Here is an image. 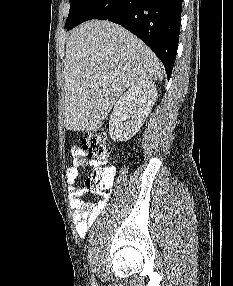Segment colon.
Listing matches in <instances>:
<instances>
[{
  "mask_svg": "<svg viewBox=\"0 0 233 286\" xmlns=\"http://www.w3.org/2000/svg\"><path fill=\"white\" fill-rule=\"evenodd\" d=\"M82 148L89 157L95 159L99 164H104L108 159L106 137L101 130L86 133L82 141ZM113 179V170L110 167L101 166L89 174L85 181V187L102 191L112 185Z\"/></svg>",
  "mask_w": 233,
  "mask_h": 286,
  "instance_id": "1",
  "label": "colon"
}]
</instances>
